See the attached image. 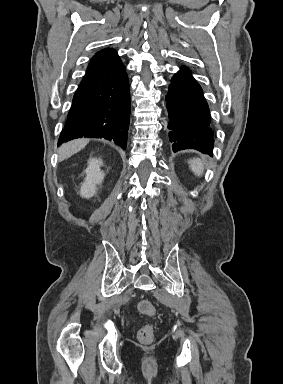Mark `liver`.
Segmentation results:
<instances>
[{
  "label": "liver",
  "mask_w": 283,
  "mask_h": 384,
  "mask_svg": "<svg viewBox=\"0 0 283 384\" xmlns=\"http://www.w3.org/2000/svg\"><path fill=\"white\" fill-rule=\"evenodd\" d=\"M89 140L88 138H82V140H72V142H67V144H63L61 148H59V162H63V160H67V158H71L80 150H83L85 146H87Z\"/></svg>",
  "instance_id": "6515ba94"
}]
</instances>
